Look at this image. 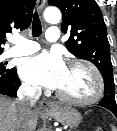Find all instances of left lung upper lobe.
<instances>
[{
	"instance_id": "obj_1",
	"label": "left lung upper lobe",
	"mask_w": 117,
	"mask_h": 131,
	"mask_svg": "<svg viewBox=\"0 0 117 131\" xmlns=\"http://www.w3.org/2000/svg\"><path fill=\"white\" fill-rule=\"evenodd\" d=\"M62 12V31L70 33L65 45L74 56L92 62L102 73L105 95L102 104L115 108L110 46L101 10L95 0H48Z\"/></svg>"
}]
</instances>
